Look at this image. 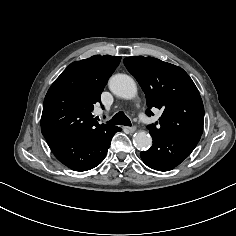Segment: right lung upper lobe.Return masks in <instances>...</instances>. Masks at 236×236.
Masks as SVG:
<instances>
[{
  "instance_id": "1",
  "label": "right lung upper lobe",
  "mask_w": 236,
  "mask_h": 236,
  "mask_svg": "<svg viewBox=\"0 0 236 236\" xmlns=\"http://www.w3.org/2000/svg\"><path fill=\"white\" fill-rule=\"evenodd\" d=\"M119 56H92L71 63L49 88L43 104L41 131L46 139L92 134L110 125L99 124L91 112Z\"/></svg>"
}]
</instances>
